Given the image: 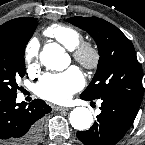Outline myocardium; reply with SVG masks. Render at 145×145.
<instances>
[{"mask_svg":"<svg viewBox=\"0 0 145 145\" xmlns=\"http://www.w3.org/2000/svg\"><path fill=\"white\" fill-rule=\"evenodd\" d=\"M72 54L74 59L87 70H96L100 64V49L92 41H81L72 50Z\"/></svg>","mask_w":145,"mask_h":145,"instance_id":"myocardium-1","label":"myocardium"}]
</instances>
